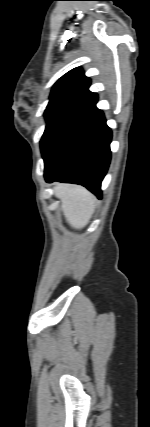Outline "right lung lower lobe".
Listing matches in <instances>:
<instances>
[{"mask_svg":"<svg viewBox=\"0 0 150 427\" xmlns=\"http://www.w3.org/2000/svg\"><path fill=\"white\" fill-rule=\"evenodd\" d=\"M111 130L96 103L82 110L65 128L45 160L46 182L80 184L101 198L107 172Z\"/></svg>","mask_w":150,"mask_h":427,"instance_id":"1","label":"right lung lower lobe"}]
</instances>
